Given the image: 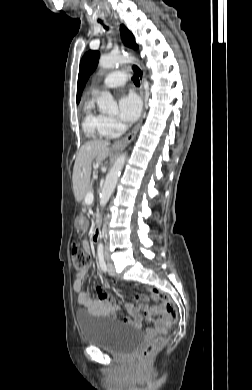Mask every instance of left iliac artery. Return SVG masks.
<instances>
[{"label": "left iliac artery", "mask_w": 252, "mask_h": 390, "mask_svg": "<svg viewBox=\"0 0 252 390\" xmlns=\"http://www.w3.org/2000/svg\"><path fill=\"white\" fill-rule=\"evenodd\" d=\"M98 260H99V267L102 271L106 272L107 267L105 263V258H104V246L102 243L98 245Z\"/></svg>", "instance_id": "obj_1"}]
</instances>
